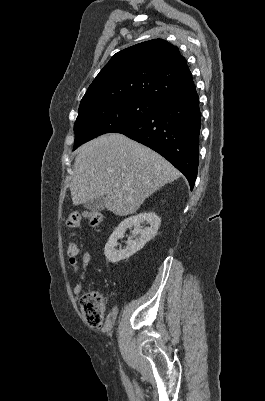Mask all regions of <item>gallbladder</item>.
I'll use <instances>...</instances> for the list:
<instances>
[{
	"label": "gallbladder",
	"mask_w": 265,
	"mask_h": 401,
	"mask_svg": "<svg viewBox=\"0 0 265 401\" xmlns=\"http://www.w3.org/2000/svg\"><path fill=\"white\" fill-rule=\"evenodd\" d=\"M85 209H89L92 213H100V211H104L106 209L105 205V196H96V198H91V201H86V203H82Z\"/></svg>",
	"instance_id": "obj_1"
}]
</instances>
